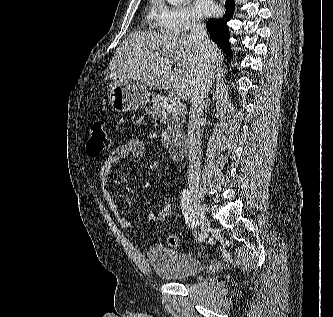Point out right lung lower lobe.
Segmentation results:
<instances>
[{
    "instance_id": "obj_1",
    "label": "right lung lower lobe",
    "mask_w": 333,
    "mask_h": 317,
    "mask_svg": "<svg viewBox=\"0 0 333 317\" xmlns=\"http://www.w3.org/2000/svg\"><path fill=\"white\" fill-rule=\"evenodd\" d=\"M226 12L222 18L209 19L207 22V30L210 34L211 39L223 50V52L232 57L233 53L229 45V31L227 22L232 18L235 5L232 0H226L225 3Z\"/></svg>"
}]
</instances>
